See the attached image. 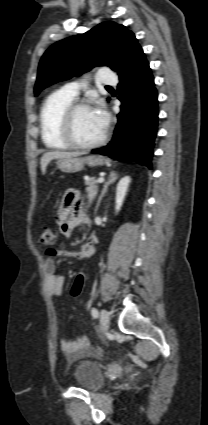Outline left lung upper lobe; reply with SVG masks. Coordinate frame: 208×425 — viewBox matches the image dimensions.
Masks as SVG:
<instances>
[{
    "label": "left lung upper lobe",
    "instance_id": "obj_1",
    "mask_svg": "<svg viewBox=\"0 0 208 425\" xmlns=\"http://www.w3.org/2000/svg\"><path fill=\"white\" fill-rule=\"evenodd\" d=\"M143 54L135 35L125 26L100 23L84 34L50 46L39 63L35 95L55 82L78 76L96 65H108L122 76Z\"/></svg>",
    "mask_w": 208,
    "mask_h": 425
}]
</instances>
